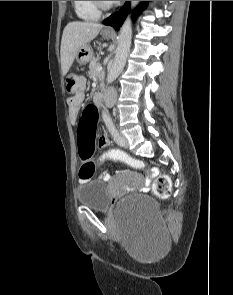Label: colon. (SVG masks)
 <instances>
[{
	"label": "colon",
	"mask_w": 233,
	"mask_h": 295,
	"mask_svg": "<svg viewBox=\"0 0 233 295\" xmlns=\"http://www.w3.org/2000/svg\"><path fill=\"white\" fill-rule=\"evenodd\" d=\"M85 90V80L76 73H68L66 76V91L69 98L82 95ZM96 113L85 111L79 122V154L82 160L79 177L88 180L93 177L97 166L106 162H119L135 169H142L144 164L141 160L131 157L119 149H111L104 153L95 162L93 153L95 149ZM152 192L159 199H167L171 193V180L167 175L157 177L152 184Z\"/></svg>",
	"instance_id": "obj_1"
}]
</instances>
